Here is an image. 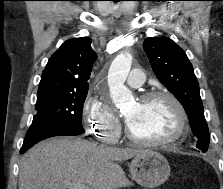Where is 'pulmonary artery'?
Instances as JSON below:
<instances>
[{
    "instance_id": "e3ab8cb5",
    "label": "pulmonary artery",
    "mask_w": 223,
    "mask_h": 189,
    "mask_svg": "<svg viewBox=\"0 0 223 189\" xmlns=\"http://www.w3.org/2000/svg\"><path fill=\"white\" fill-rule=\"evenodd\" d=\"M145 81V75L144 72L141 69H133L127 80L126 83L131 87H140L144 84Z\"/></svg>"
}]
</instances>
